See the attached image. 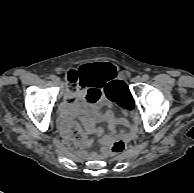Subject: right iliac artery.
<instances>
[{
  "label": "right iliac artery",
  "instance_id": "1",
  "mask_svg": "<svg viewBox=\"0 0 194 193\" xmlns=\"http://www.w3.org/2000/svg\"><path fill=\"white\" fill-rule=\"evenodd\" d=\"M55 77H56V76H55V75H53V74H51V75H50V78H51L52 80H54V79H55Z\"/></svg>",
  "mask_w": 194,
  "mask_h": 193
}]
</instances>
